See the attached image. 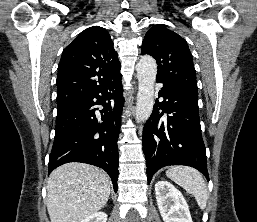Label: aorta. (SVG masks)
I'll list each match as a JSON object with an SVG mask.
<instances>
[{
    "mask_svg": "<svg viewBox=\"0 0 257 222\" xmlns=\"http://www.w3.org/2000/svg\"><path fill=\"white\" fill-rule=\"evenodd\" d=\"M138 93L136 103V121H146L154 106V84L157 74L156 61L148 55L142 56L136 66Z\"/></svg>",
    "mask_w": 257,
    "mask_h": 222,
    "instance_id": "obj_1",
    "label": "aorta"
}]
</instances>
